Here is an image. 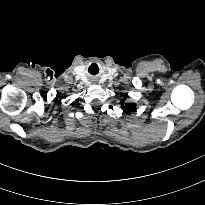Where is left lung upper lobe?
Wrapping results in <instances>:
<instances>
[{
	"mask_svg": "<svg viewBox=\"0 0 205 205\" xmlns=\"http://www.w3.org/2000/svg\"><path fill=\"white\" fill-rule=\"evenodd\" d=\"M124 102H125V99L121 100V104H122L121 106L123 110L130 113V110L135 109L136 105L134 103L124 105Z\"/></svg>",
	"mask_w": 205,
	"mask_h": 205,
	"instance_id": "5c2ea615",
	"label": "left lung upper lobe"
}]
</instances>
